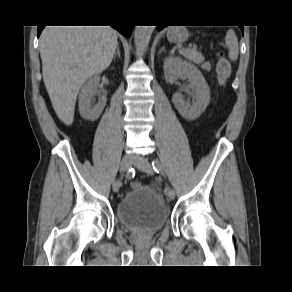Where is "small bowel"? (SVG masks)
<instances>
[{"instance_id": "small-bowel-1", "label": "small bowel", "mask_w": 292, "mask_h": 292, "mask_svg": "<svg viewBox=\"0 0 292 292\" xmlns=\"http://www.w3.org/2000/svg\"><path fill=\"white\" fill-rule=\"evenodd\" d=\"M203 68H204L205 70H209V69H210V65H209V63H208V62H205V63L203 64Z\"/></svg>"}]
</instances>
